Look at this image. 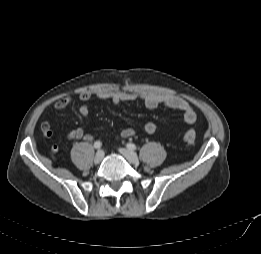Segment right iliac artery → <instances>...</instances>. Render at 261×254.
I'll list each match as a JSON object with an SVG mask.
<instances>
[{"label":"right iliac artery","mask_w":261,"mask_h":254,"mask_svg":"<svg viewBox=\"0 0 261 254\" xmlns=\"http://www.w3.org/2000/svg\"><path fill=\"white\" fill-rule=\"evenodd\" d=\"M101 146H102V143H101L100 141H96V142L94 143V148H95V149H100Z\"/></svg>","instance_id":"82829eb1"}]
</instances>
